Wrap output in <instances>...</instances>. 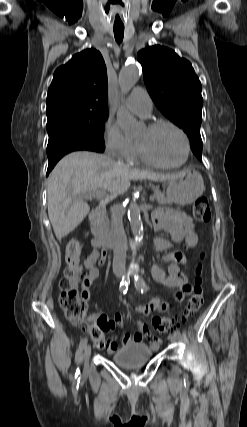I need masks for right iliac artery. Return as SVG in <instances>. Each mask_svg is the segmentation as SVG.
Wrapping results in <instances>:
<instances>
[{
  "instance_id": "1",
  "label": "right iliac artery",
  "mask_w": 247,
  "mask_h": 427,
  "mask_svg": "<svg viewBox=\"0 0 247 427\" xmlns=\"http://www.w3.org/2000/svg\"><path fill=\"white\" fill-rule=\"evenodd\" d=\"M129 282H130L129 276H123L122 281L120 282V285H119V291L121 293L125 294L127 292ZM86 344H87V338H84L80 341V347H84ZM79 375H80V370L77 369L75 373L76 381L80 380Z\"/></svg>"
}]
</instances>
